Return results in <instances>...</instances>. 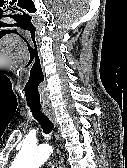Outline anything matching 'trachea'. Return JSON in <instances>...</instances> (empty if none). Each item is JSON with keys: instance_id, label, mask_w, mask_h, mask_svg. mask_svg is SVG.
I'll use <instances>...</instances> for the list:
<instances>
[{"instance_id": "1", "label": "trachea", "mask_w": 127, "mask_h": 168, "mask_svg": "<svg viewBox=\"0 0 127 168\" xmlns=\"http://www.w3.org/2000/svg\"><path fill=\"white\" fill-rule=\"evenodd\" d=\"M33 117L39 122L43 132L50 134L53 130V123L51 120L42 112L41 106H29ZM56 168V167H55Z\"/></svg>"}]
</instances>
